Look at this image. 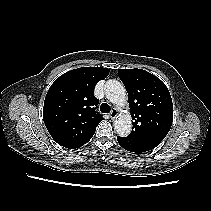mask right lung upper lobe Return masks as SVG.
I'll list each match as a JSON object with an SVG mask.
<instances>
[{
	"label": "right lung upper lobe",
	"mask_w": 211,
	"mask_h": 211,
	"mask_svg": "<svg viewBox=\"0 0 211 211\" xmlns=\"http://www.w3.org/2000/svg\"><path fill=\"white\" fill-rule=\"evenodd\" d=\"M109 69L82 67L66 72L51 85L43 108V120L52 138L61 146L74 149L87 143L103 120L96 112V84Z\"/></svg>",
	"instance_id": "right-lung-upper-lobe-1"
}]
</instances>
